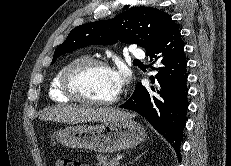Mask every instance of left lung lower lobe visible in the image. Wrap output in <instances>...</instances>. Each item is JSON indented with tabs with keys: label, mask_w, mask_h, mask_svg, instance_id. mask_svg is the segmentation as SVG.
I'll return each instance as SVG.
<instances>
[{
	"label": "left lung lower lobe",
	"mask_w": 231,
	"mask_h": 166,
	"mask_svg": "<svg viewBox=\"0 0 231 166\" xmlns=\"http://www.w3.org/2000/svg\"><path fill=\"white\" fill-rule=\"evenodd\" d=\"M184 43L178 26L147 52L150 61L158 63L155 76H151V86L138 83L135 90L120 108L135 111L171 144L180 156V145L186 123L188 108L187 60Z\"/></svg>",
	"instance_id": "left-lung-lower-lobe-1"
}]
</instances>
